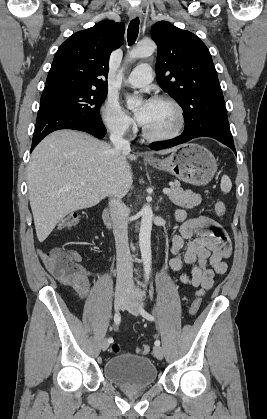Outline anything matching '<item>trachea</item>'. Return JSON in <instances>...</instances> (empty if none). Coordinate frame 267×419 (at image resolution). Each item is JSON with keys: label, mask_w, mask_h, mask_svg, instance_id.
<instances>
[{"label": "trachea", "mask_w": 267, "mask_h": 419, "mask_svg": "<svg viewBox=\"0 0 267 419\" xmlns=\"http://www.w3.org/2000/svg\"><path fill=\"white\" fill-rule=\"evenodd\" d=\"M139 33V18L136 17L135 19L130 21L127 30V40L129 46L133 45L138 37Z\"/></svg>", "instance_id": "obj_1"}]
</instances>
